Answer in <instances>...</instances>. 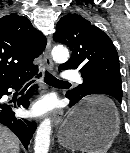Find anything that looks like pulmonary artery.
I'll return each mask as SVG.
<instances>
[{
  "mask_svg": "<svg viewBox=\"0 0 130 153\" xmlns=\"http://www.w3.org/2000/svg\"><path fill=\"white\" fill-rule=\"evenodd\" d=\"M63 76L65 80H68V81H73L77 83H80L82 81V77L77 71L67 70L65 71Z\"/></svg>",
  "mask_w": 130,
  "mask_h": 153,
  "instance_id": "e3ab8cb5",
  "label": "pulmonary artery"
}]
</instances>
